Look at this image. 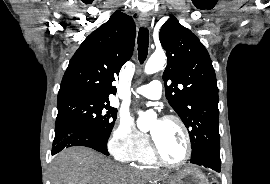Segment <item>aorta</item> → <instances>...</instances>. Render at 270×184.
<instances>
[{
  "mask_svg": "<svg viewBox=\"0 0 270 184\" xmlns=\"http://www.w3.org/2000/svg\"><path fill=\"white\" fill-rule=\"evenodd\" d=\"M165 64V55L163 53H154L151 55L149 60L145 65L144 72L146 74H153L158 72L163 68ZM156 114L153 111L139 112V117L137 119V127L141 131L149 129L150 124L153 119H155Z\"/></svg>",
  "mask_w": 270,
  "mask_h": 184,
  "instance_id": "obj_1",
  "label": "aorta"
}]
</instances>
